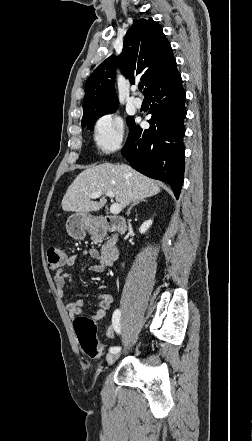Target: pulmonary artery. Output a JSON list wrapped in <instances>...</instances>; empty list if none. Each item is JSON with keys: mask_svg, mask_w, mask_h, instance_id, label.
Segmentation results:
<instances>
[{"mask_svg": "<svg viewBox=\"0 0 252 441\" xmlns=\"http://www.w3.org/2000/svg\"><path fill=\"white\" fill-rule=\"evenodd\" d=\"M132 103H133L134 107L141 108V106H142V99L139 98V97H135V98H133Z\"/></svg>", "mask_w": 252, "mask_h": 441, "instance_id": "e3ab8cb5", "label": "pulmonary artery"}]
</instances>
